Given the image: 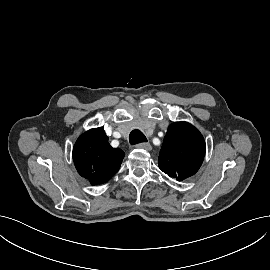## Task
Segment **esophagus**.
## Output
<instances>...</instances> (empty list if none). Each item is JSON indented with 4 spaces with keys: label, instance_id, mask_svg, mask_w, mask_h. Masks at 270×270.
Here are the masks:
<instances>
[{
    "label": "esophagus",
    "instance_id": "34e87169",
    "mask_svg": "<svg viewBox=\"0 0 270 270\" xmlns=\"http://www.w3.org/2000/svg\"><path fill=\"white\" fill-rule=\"evenodd\" d=\"M136 147L140 149H145L147 151H150L152 149L151 144L148 142L139 143L136 145Z\"/></svg>",
    "mask_w": 270,
    "mask_h": 270
}]
</instances>
